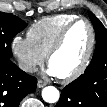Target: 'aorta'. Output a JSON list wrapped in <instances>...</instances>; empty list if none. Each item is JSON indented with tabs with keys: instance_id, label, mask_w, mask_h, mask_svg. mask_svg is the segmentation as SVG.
Instances as JSON below:
<instances>
[{
	"instance_id": "aorta-1",
	"label": "aorta",
	"mask_w": 107,
	"mask_h": 107,
	"mask_svg": "<svg viewBox=\"0 0 107 107\" xmlns=\"http://www.w3.org/2000/svg\"><path fill=\"white\" fill-rule=\"evenodd\" d=\"M60 93L54 86H47L42 90V98L47 103H55L58 101Z\"/></svg>"
}]
</instances>
